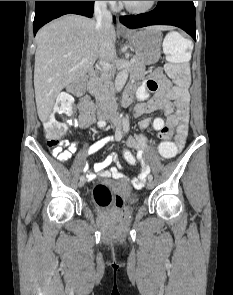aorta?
<instances>
[{
    "instance_id": "obj_1",
    "label": "aorta",
    "mask_w": 233,
    "mask_h": 295,
    "mask_svg": "<svg viewBox=\"0 0 233 295\" xmlns=\"http://www.w3.org/2000/svg\"><path fill=\"white\" fill-rule=\"evenodd\" d=\"M127 78H128V70L127 69H123L118 73V75L116 77V81H115V86L118 91H120L123 88V86L125 85V83L127 81Z\"/></svg>"
}]
</instances>
